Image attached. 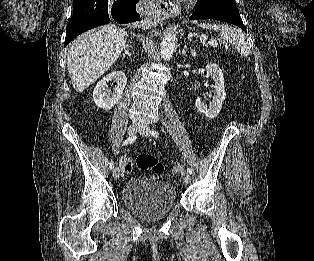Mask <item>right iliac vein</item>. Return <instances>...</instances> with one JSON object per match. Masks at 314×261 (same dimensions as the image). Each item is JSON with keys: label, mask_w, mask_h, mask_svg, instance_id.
<instances>
[{"label": "right iliac vein", "mask_w": 314, "mask_h": 261, "mask_svg": "<svg viewBox=\"0 0 314 261\" xmlns=\"http://www.w3.org/2000/svg\"><path fill=\"white\" fill-rule=\"evenodd\" d=\"M138 130V125L136 123H132L129 125L128 127V134L129 135H134ZM113 176L115 179H119L121 176V172H120V168L119 167H115V169L113 170Z\"/></svg>", "instance_id": "right-iliac-vein-1"}]
</instances>
